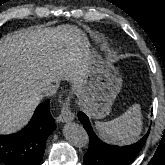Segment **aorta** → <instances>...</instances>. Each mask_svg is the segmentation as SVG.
<instances>
[{
	"label": "aorta",
	"instance_id": "obj_1",
	"mask_svg": "<svg viewBox=\"0 0 165 165\" xmlns=\"http://www.w3.org/2000/svg\"><path fill=\"white\" fill-rule=\"evenodd\" d=\"M63 134L65 139L76 147H84L88 144V134L79 124L67 123L64 126Z\"/></svg>",
	"mask_w": 165,
	"mask_h": 165
}]
</instances>
